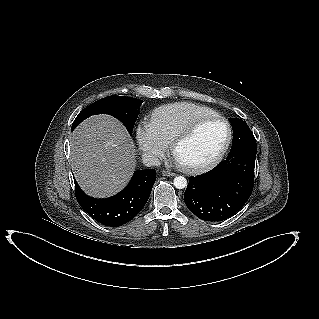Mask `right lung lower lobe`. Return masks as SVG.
<instances>
[{
  "mask_svg": "<svg viewBox=\"0 0 319 319\" xmlns=\"http://www.w3.org/2000/svg\"><path fill=\"white\" fill-rule=\"evenodd\" d=\"M155 180L154 169L136 171L121 192L106 199L86 195L75 179L74 182L76 198L83 210L105 226L118 227L131 221L143 209Z\"/></svg>",
  "mask_w": 319,
  "mask_h": 319,
  "instance_id": "98d812e1",
  "label": "right lung lower lobe"
}]
</instances>
